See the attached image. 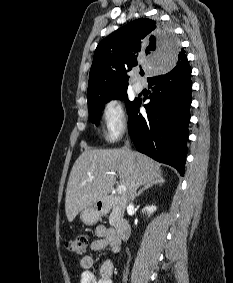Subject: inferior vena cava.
<instances>
[{"label": "inferior vena cava", "instance_id": "inferior-vena-cava-1", "mask_svg": "<svg viewBox=\"0 0 233 283\" xmlns=\"http://www.w3.org/2000/svg\"><path fill=\"white\" fill-rule=\"evenodd\" d=\"M128 144H129V142L126 141L125 149H127V150H128V147H127ZM136 190H137V186H133V188H131L130 191H129V197L132 201L134 200V198L136 196Z\"/></svg>", "mask_w": 233, "mask_h": 283}]
</instances>
